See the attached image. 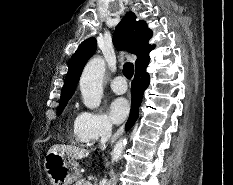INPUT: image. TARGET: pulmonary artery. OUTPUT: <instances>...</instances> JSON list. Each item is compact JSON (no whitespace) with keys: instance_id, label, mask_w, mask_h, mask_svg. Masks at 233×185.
<instances>
[{"instance_id":"obj_1","label":"pulmonary artery","mask_w":233,"mask_h":185,"mask_svg":"<svg viewBox=\"0 0 233 185\" xmlns=\"http://www.w3.org/2000/svg\"><path fill=\"white\" fill-rule=\"evenodd\" d=\"M111 89L117 94H123L127 90L126 80L122 76L115 77L110 83Z\"/></svg>"}]
</instances>
